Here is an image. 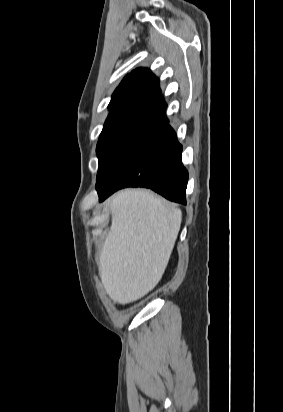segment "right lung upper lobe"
Masks as SVG:
<instances>
[{
    "mask_svg": "<svg viewBox=\"0 0 283 412\" xmlns=\"http://www.w3.org/2000/svg\"><path fill=\"white\" fill-rule=\"evenodd\" d=\"M166 106L156 76L138 68L126 75L113 93L108 118L126 114L164 116Z\"/></svg>",
    "mask_w": 283,
    "mask_h": 412,
    "instance_id": "cb5924a9",
    "label": "right lung upper lobe"
}]
</instances>
